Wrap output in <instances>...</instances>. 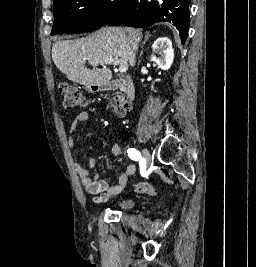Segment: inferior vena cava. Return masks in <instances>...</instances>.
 Wrapping results in <instances>:
<instances>
[{
	"label": "inferior vena cava",
	"instance_id": "obj_1",
	"mask_svg": "<svg viewBox=\"0 0 256 267\" xmlns=\"http://www.w3.org/2000/svg\"><path fill=\"white\" fill-rule=\"evenodd\" d=\"M134 50H135V52H137V50H138V46H135Z\"/></svg>",
	"mask_w": 256,
	"mask_h": 267
}]
</instances>
